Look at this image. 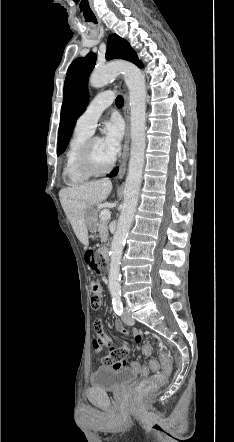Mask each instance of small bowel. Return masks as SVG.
Here are the masks:
<instances>
[{
  "label": "small bowel",
  "instance_id": "obj_1",
  "mask_svg": "<svg viewBox=\"0 0 234 442\" xmlns=\"http://www.w3.org/2000/svg\"><path fill=\"white\" fill-rule=\"evenodd\" d=\"M98 285H99L100 291L102 292L101 285L99 283H98ZM93 325L95 326V328H94V335H95V338H94V341H95L94 348L96 350H100V349L108 350L109 349V353H108L107 356H105L104 361L106 363H108V364H111L112 363L113 354L116 353L120 349H117L116 346L112 343L111 338L109 336H106V331L104 330L103 323L99 322L98 320H95L93 322ZM115 328L120 333H123V334H126V335L129 333L128 330L125 328V326L119 320H116ZM141 339H142V337H141V335L139 333L135 335V340L137 342H140ZM123 349H125L126 352H127L126 348H123ZM142 350H143V348H142ZM126 365L127 364H126V361H125V366Z\"/></svg>",
  "mask_w": 234,
  "mask_h": 442
}]
</instances>
